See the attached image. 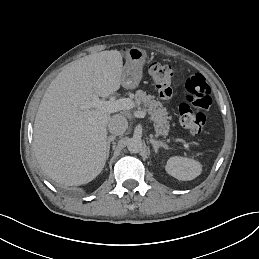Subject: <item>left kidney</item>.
<instances>
[{
    "instance_id": "5707ae66",
    "label": "left kidney",
    "mask_w": 259,
    "mask_h": 259,
    "mask_svg": "<svg viewBox=\"0 0 259 259\" xmlns=\"http://www.w3.org/2000/svg\"><path fill=\"white\" fill-rule=\"evenodd\" d=\"M166 172L178 180L188 181L201 174L202 165L193 159L174 156L166 164Z\"/></svg>"
}]
</instances>
